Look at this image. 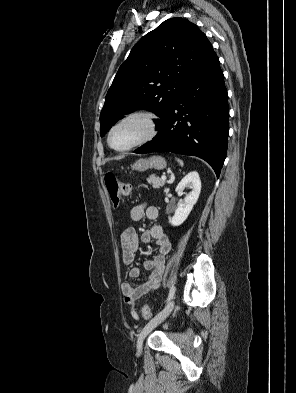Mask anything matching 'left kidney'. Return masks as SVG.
I'll return each mask as SVG.
<instances>
[{
    "label": "left kidney",
    "instance_id": "left-kidney-1",
    "mask_svg": "<svg viewBox=\"0 0 296 393\" xmlns=\"http://www.w3.org/2000/svg\"><path fill=\"white\" fill-rule=\"evenodd\" d=\"M185 188H190L192 191L186 195V197L181 200L178 208L175 211L173 217H169V223L173 226L181 225L190 214L193 206L196 204L200 192H201V181L198 172H189L177 185L176 192L178 196L183 195V190Z\"/></svg>",
    "mask_w": 296,
    "mask_h": 393
}]
</instances>
